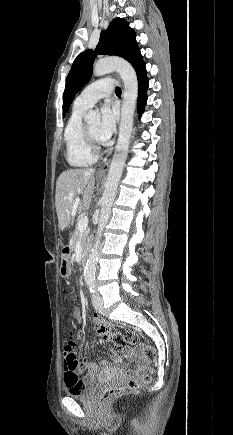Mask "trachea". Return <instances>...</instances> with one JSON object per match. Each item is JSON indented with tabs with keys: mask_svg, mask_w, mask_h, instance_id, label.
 <instances>
[{
	"mask_svg": "<svg viewBox=\"0 0 233 435\" xmlns=\"http://www.w3.org/2000/svg\"><path fill=\"white\" fill-rule=\"evenodd\" d=\"M115 92H116V93H121V89H120V87H117V88L115 89Z\"/></svg>",
	"mask_w": 233,
	"mask_h": 435,
	"instance_id": "obj_1",
	"label": "trachea"
}]
</instances>
